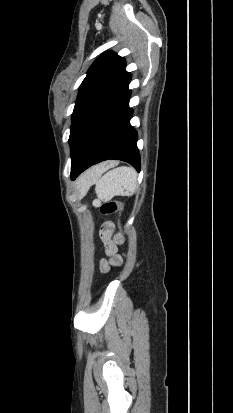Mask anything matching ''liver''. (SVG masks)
I'll return each instance as SVG.
<instances>
[{
  "label": "liver",
  "mask_w": 233,
  "mask_h": 413,
  "mask_svg": "<svg viewBox=\"0 0 233 413\" xmlns=\"http://www.w3.org/2000/svg\"><path fill=\"white\" fill-rule=\"evenodd\" d=\"M102 169H103V165L98 166V167H95L94 169H92V172H93V171H100V170H102Z\"/></svg>",
  "instance_id": "1"
}]
</instances>
